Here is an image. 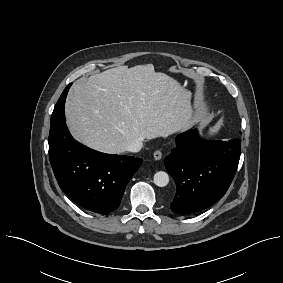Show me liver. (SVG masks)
I'll return each mask as SVG.
<instances>
[{"instance_id":"obj_1","label":"liver","mask_w":283,"mask_h":283,"mask_svg":"<svg viewBox=\"0 0 283 283\" xmlns=\"http://www.w3.org/2000/svg\"><path fill=\"white\" fill-rule=\"evenodd\" d=\"M65 113L76 140L108 154H123L136 140L165 138L198 121L190 91L152 64L119 66L78 80Z\"/></svg>"}]
</instances>
